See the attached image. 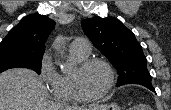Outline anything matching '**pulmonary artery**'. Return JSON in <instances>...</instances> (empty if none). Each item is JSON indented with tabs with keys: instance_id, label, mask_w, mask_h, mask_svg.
<instances>
[{
	"instance_id": "obj_1",
	"label": "pulmonary artery",
	"mask_w": 171,
	"mask_h": 110,
	"mask_svg": "<svg viewBox=\"0 0 171 110\" xmlns=\"http://www.w3.org/2000/svg\"><path fill=\"white\" fill-rule=\"evenodd\" d=\"M70 47L82 54H89L91 52V43L85 38H75Z\"/></svg>"
}]
</instances>
